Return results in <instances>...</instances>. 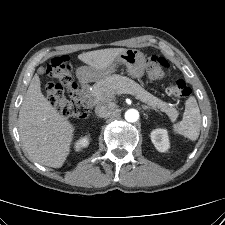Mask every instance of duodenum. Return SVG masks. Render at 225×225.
I'll return each instance as SVG.
<instances>
[{
  "label": "duodenum",
  "instance_id": "1",
  "mask_svg": "<svg viewBox=\"0 0 225 225\" xmlns=\"http://www.w3.org/2000/svg\"><path fill=\"white\" fill-rule=\"evenodd\" d=\"M81 87L83 89V93H82L83 98L86 101L87 105L89 107H91L93 105V100H92V98H91V96H90V94L88 92L89 85L87 83L83 82V83H81Z\"/></svg>",
  "mask_w": 225,
  "mask_h": 225
}]
</instances>
